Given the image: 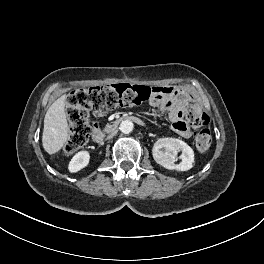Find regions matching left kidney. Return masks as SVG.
Instances as JSON below:
<instances>
[{
	"label": "left kidney",
	"instance_id": "left-kidney-1",
	"mask_svg": "<svg viewBox=\"0 0 264 264\" xmlns=\"http://www.w3.org/2000/svg\"><path fill=\"white\" fill-rule=\"evenodd\" d=\"M179 151H182L181 162L175 164ZM153 158L158 164L169 170L188 171L194 164L193 149L177 138L158 139L153 147Z\"/></svg>",
	"mask_w": 264,
	"mask_h": 264
}]
</instances>
